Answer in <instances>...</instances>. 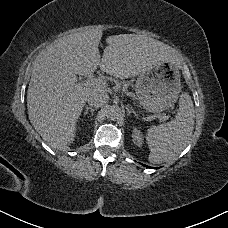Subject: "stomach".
Returning a JSON list of instances; mask_svg holds the SVG:
<instances>
[{"instance_id":"obj_1","label":"stomach","mask_w":228,"mask_h":228,"mask_svg":"<svg viewBox=\"0 0 228 228\" xmlns=\"http://www.w3.org/2000/svg\"><path fill=\"white\" fill-rule=\"evenodd\" d=\"M181 89L180 72L173 63H162L140 73L135 84L140 105L152 113L173 107Z\"/></svg>"}]
</instances>
